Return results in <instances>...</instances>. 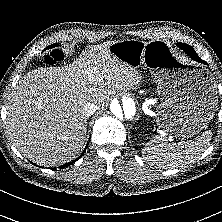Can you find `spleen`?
Returning a JSON list of instances; mask_svg holds the SVG:
<instances>
[{
  "mask_svg": "<svg viewBox=\"0 0 222 222\" xmlns=\"http://www.w3.org/2000/svg\"><path fill=\"white\" fill-rule=\"evenodd\" d=\"M211 132L207 131L194 140L179 142L175 147L163 137L148 142L142 155L153 165L164 168H178L194 163L210 144Z\"/></svg>",
  "mask_w": 222,
  "mask_h": 222,
  "instance_id": "obj_1",
  "label": "spleen"
}]
</instances>
